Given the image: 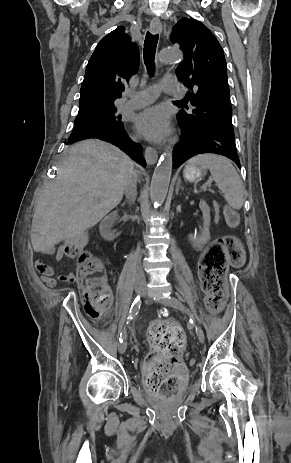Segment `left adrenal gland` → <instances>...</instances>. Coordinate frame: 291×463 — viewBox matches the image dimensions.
<instances>
[{
	"instance_id": "a2214340",
	"label": "left adrenal gland",
	"mask_w": 291,
	"mask_h": 463,
	"mask_svg": "<svg viewBox=\"0 0 291 463\" xmlns=\"http://www.w3.org/2000/svg\"><path fill=\"white\" fill-rule=\"evenodd\" d=\"M180 189H182V187H181V180L179 179L176 185V195L178 194Z\"/></svg>"
}]
</instances>
